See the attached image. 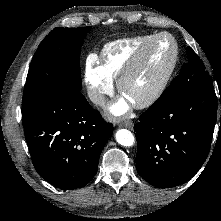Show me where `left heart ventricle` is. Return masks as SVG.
Wrapping results in <instances>:
<instances>
[{
	"label": "left heart ventricle",
	"mask_w": 221,
	"mask_h": 221,
	"mask_svg": "<svg viewBox=\"0 0 221 221\" xmlns=\"http://www.w3.org/2000/svg\"><path fill=\"white\" fill-rule=\"evenodd\" d=\"M172 53L173 47L168 38H161L153 44L143 68L125 88L124 96L130 102H138L152 92L164 75Z\"/></svg>",
	"instance_id": "left-heart-ventricle-1"
}]
</instances>
